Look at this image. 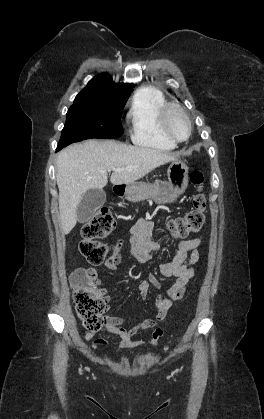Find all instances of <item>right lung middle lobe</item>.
<instances>
[{
	"instance_id": "obj_1",
	"label": "right lung middle lobe",
	"mask_w": 264,
	"mask_h": 419,
	"mask_svg": "<svg viewBox=\"0 0 264 419\" xmlns=\"http://www.w3.org/2000/svg\"><path fill=\"white\" fill-rule=\"evenodd\" d=\"M127 99L81 91L67 112L57 148L90 138L120 137L123 134L120 117Z\"/></svg>"
}]
</instances>
